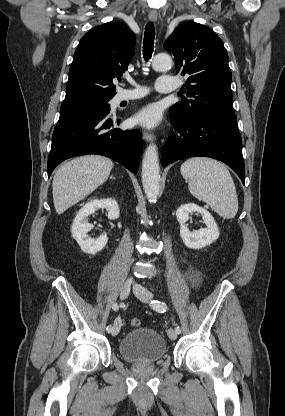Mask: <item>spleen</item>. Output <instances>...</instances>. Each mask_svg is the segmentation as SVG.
I'll use <instances>...</instances> for the list:
<instances>
[{
  "label": "spleen",
  "instance_id": "spleen-1",
  "mask_svg": "<svg viewBox=\"0 0 285 416\" xmlns=\"http://www.w3.org/2000/svg\"><path fill=\"white\" fill-rule=\"evenodd\" d=\"M180 172L188 180V190L194 198L211 206L221 218L231 220L238 212L234 182L224 164L211 158H190Z\"/></svg>",
  "mask_w": 285,
  "mask_h": 416
}]
</instances>
